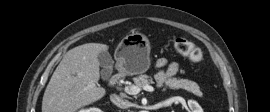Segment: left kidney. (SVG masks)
<instances>
[{"label":"left kidney","mask_w":270,"mask_h":112,"mask_svg":"<svg viewBox=\"0 0 270 112\" xmlns=\"http://www.w3.org/2000/svg\"><path fill=\"white\" fill-rule=\"evenodd\" d=\"M191 112H203L201 107L196 102H191Z\"/></svg>","instance_id":"5707ae66"}]
</instances>
